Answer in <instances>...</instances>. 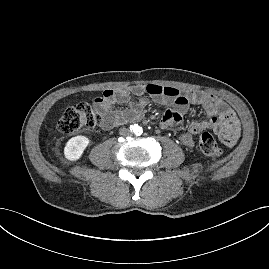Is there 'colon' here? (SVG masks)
Here are the masks:
<instances>
[{
    "label": "colon",
    "instance_id": "5ec220e1",
    "mask_svg": "<svg viewBox=\"0 0 269 269\" xmlns=\"http://www.w3.org/2000/svg\"><path fill=\"white\" fill-rule=\"evenodd\" d=\"M102 123V115L94 105L81 103L67 107L59 121L58 129L65 134L74 133L83 128H93ZM199 150L206 156L217 160L222 157V149L210 133H203L198 140Z\"/></svg>",
    "mask_w": 269,
    "mask_h": 269
}]
</instances>
